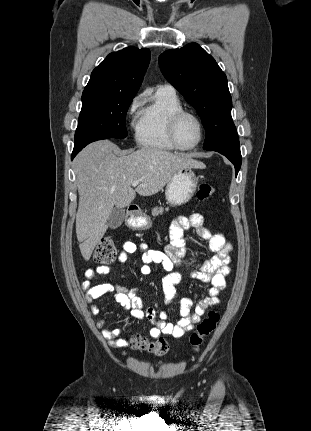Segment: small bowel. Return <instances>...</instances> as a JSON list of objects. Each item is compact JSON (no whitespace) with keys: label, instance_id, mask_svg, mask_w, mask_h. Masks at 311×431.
Instances as JSON below:
<instances>
[{"label":"small bowel","instance_id":"small-bowel-1","mask_svg":"<svg viewBox=\"0 0 311 431\" xmlns=\"http://www.w3.org/2000/svg\"><path fill=\"white\" fill-rule=\"evenodd\" d=\"M190 229H195L197 235L207 241L208 250L212 254L204 261L191 277L210 285L208 296L201 299L194 305L191 299H182L179 303L180 319L173 324L167 321L164 312L159 313V318L153 309L144 310L141 290L139 288L127 289L111 283H101L92 285L97 275L109 274L111 269L107 265H99L96 268L88 269L85 272L86 281L82 283L85 292V300L89 304L93 315L100 313L99 307L95 303L97 299L108 293H114L115 300L130 314L136 318L148 321L153 328L150 336L158 337L160 334L171 335L180 338L192 330L194 324L198 323L201 315L211 306L220 302V292L226 286V276L230 273V253L232 246L220 233H211L206 227L204 218L199 213H194L189 217L180 216L176 218L169 231L170 243L164 251L149 249L145 244H135L127 241L123 244L118 256V261L124 263L129 255L141 251L142 262L141 273L148 275L152 271L151 265H159L168 274L162 280V290L167 303H171L176 294V285L182 279V273L177 270L180 260L185 255L184 233ZM97 326L102 329V335L109 344L115 347H124L128 341L121 339V329H111L106 327V320L99 319Z\"/></svg>","mask_w":311,"mask_h":431}]
</instances>
